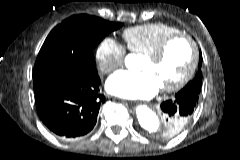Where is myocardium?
I'll use <instances>...</instances> for the list:
<instances>
[{
	"label": "myocardium",
	"instance_id": "1",
	"mask_svg": "<svg viewBox=\"0 0 240 160\" xmlns=\"http://www.w3.org/2000/svg\"><path fill=\"white\" fill-rule=\"evenodd\" d=\"M176 40H184L188 43L191 49V61L185 74L176 83L161 88L165 93H173L181 90L194 76L199 61V51L196 42L189 35L178 32L164 38L154 51L144 55L146 59L155 62L160 61L164 57L169 45Z\"/></svg>",
	"mask_w": 240,
	"mask_h": 160
}]
</instances>
